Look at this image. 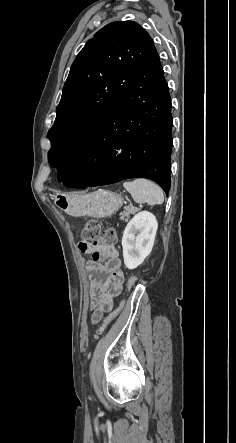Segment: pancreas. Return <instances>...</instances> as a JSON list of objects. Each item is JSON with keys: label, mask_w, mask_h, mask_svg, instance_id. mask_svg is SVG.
<instances>
[{"label": "pancreas", "mask_w": 236, "mask_h": 443, "mask_svg": "<svg viewBox=\"0 0 236 443\" xmlns=\"http://www.w3.org/2000/svg\"><path fill=\"white\" fill-rule=\"evenodd\" d=\"M139 211V208L136 207H127L126 211L120 214V220H125L126 222L129 220L131 215H134Z\"/></svg>", "instance_id": "pancreas-1"}]
</instances>
